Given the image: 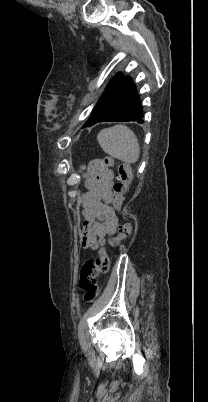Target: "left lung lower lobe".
I'll return each instance as SVG.
<instances>
[{
	"instance_id": "1",
	"label": "left lung lower lobe",
	"mask_w": 208,
	"mask_h": 402,
	"mask_svg": "<svg viewBox=\"0 0 208 402\" xmlns=\"http://www.w3.org/2000/svg\"><path fill=\"white\" fill-rule=\"evenodd\" d=\"M127 121H137L138 123L144 122L142 107L140 106V101L136 93L135 85H132L127 94L110 110H108L103 117H101L99 120L89 126H93L98 122Z\"/></svg>"
}]
</instances>
